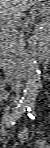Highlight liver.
<instances>
[{"mask_svg": "<svg viewBox=\"0 0 50 148\" xmlns=\"http://www.w3.org/2000/svg\"><path fill=\"white\" fill-rule=\"evenodd\" d=\"M36 2L39 0H1V17L7 21H16Z\"/></svg>", "mask_w": 50, "mask_h": 148, "instance_id": "liver-1", "label": "liver"}]
</instances>
